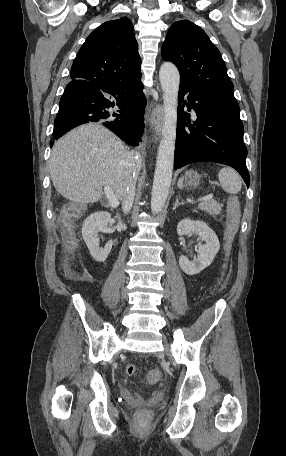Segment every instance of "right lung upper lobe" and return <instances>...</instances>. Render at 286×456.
<instances>
[{"instance_id":"1","label":"right lung upper lobe","mask_w":286,"mask_h":456,"mask_svg":"<svg viewBox=\"0 0 286 456\" xmlns=\"http://www.w3.org/2000/svg\"><path fill=\"white\" fill-rule=\"evenodd\" d=\"M140 65L133 25L123 17L103 23L88 36L70 76L102 88H115L140 79Z\"/></svg>"}]
</instances>
